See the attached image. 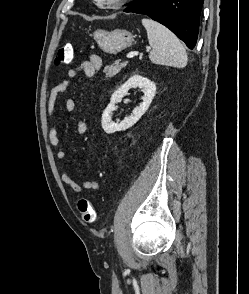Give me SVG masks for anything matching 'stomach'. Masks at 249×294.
<instances>
[{
    "label": "stomach",
    "instance_id": "obj_1",
    "mask_svg": "<svg viewBox=\"0 0 249 294\" xmlns=\"http://www.w3.org/2000/svg\"><path fill=\"white\" fill-rule=\"evenodd\" d=\"M94 39L104 52L116 54L131 46L134 36L123 29H115L111 32L99 29L94 32Z\"/></svg>",
    "mask_w": 249,
    "mask_h": 294
}]
</instances>
